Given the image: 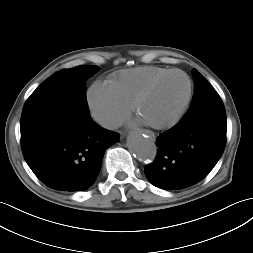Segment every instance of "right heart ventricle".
Segmentation results:
<instances>
[{
  "label": "right heart ventricle",
  "mask_w": 253,
  "mask_h": 253,
  "mask_svg": "<svg viewBox=\"0 0 253 253\" xmlns=\"http://www.w3.org/2000/svg\"><path fill=\"white\" fill-rule=\"evenodd\" d=\"M170 69L157 66H141L118 72L109 80V84L119 97L128 105L132 106L136 96L153 79L164 74Z\"/></svg>",
  "instance_id": "1"
}]
</instances>
